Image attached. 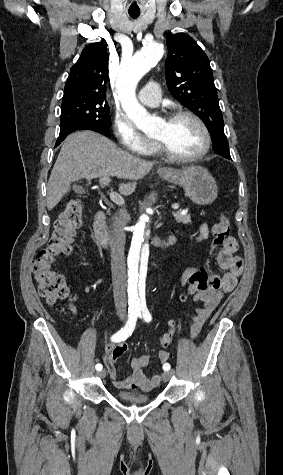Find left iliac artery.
<instances>
[{"label":"left iliac artery","mask_w":283,"mask_h":475,"mask_svg":"<svg viewBox=\"0 0 283 475\" xmlns=\"http://www.w3.org/2000/svg\"><path fill=\"white\" fill-rule=\"evenodd\" d=\"M141 313H142V314H141ZM138 315H139L140 318L143 317L146 322H150V321L152 320V316H151V314H150V312L148 311V309H147L146 306L143 307V308H141V312H138ZM163 370H164V371L170 370V364L165 363V364L163 365Z\"/></svg>","instance_id":"left-iliac-artery-1"}]
</instances>
